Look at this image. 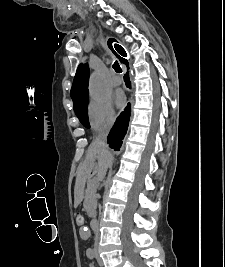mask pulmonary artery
Wrapping results in <instances>:
<instances>
[{"mask_svg":"<svg viewBox=\"0 0 225 267\" xmlns=\"http://www.w3.org/2000/svg\"><path fill=\"white\" fill-rule=\"evenodd\" d=\"M111 82L113 85L118 86L122 83V78L117 74H113Z\"/></svg>","mask_w":225,"mask_h":267,"instance_id":"e3ab8cb5","label":"pulmonary artery"}]
</instances>
